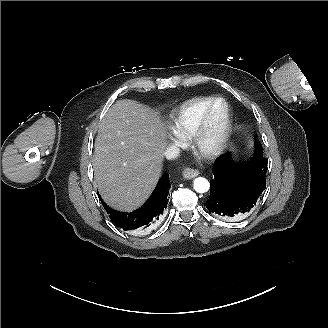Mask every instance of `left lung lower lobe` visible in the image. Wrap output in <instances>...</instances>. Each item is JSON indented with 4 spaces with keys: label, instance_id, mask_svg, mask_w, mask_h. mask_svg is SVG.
<instances>
[{
    "label": "left lung lower lobe",
    "instance_id": "left-lung-lower-lobe-1",
    "mask_svg": "<svg viewBox=\"0 0 328 328\" xmlns=\"http://www.w3.org/2000/svg\"><path fill=\"white\" fill-rule=\"evenodd\" d=\"M267 164L258 140L247 163H237L231 153L221 155L213 166L207 209L225 220L246 215L266 187Z\"/></svg>",
    "mask_w": 328,
    "mask_h": 328
}]
</instances>
